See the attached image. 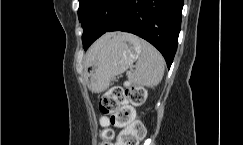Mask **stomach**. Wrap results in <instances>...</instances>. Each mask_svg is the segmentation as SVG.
Wrapping results in <instances>:
<instances>
[{"label":"stomach","mask_w":243,"mask_h":145,"mask_svg":"<svg viewBox=\"0 0 243 145\" xmlns=\"http://www.w3.org/2000/svg\"><path fill=\"white\" fill-rule=\"evenodd\" d=\"M140 39L128 33H111L92 53L85 78L93 92L106 90L116 75L126 71L141 55Z\"/></svg>","instance_id":"obj_1"}]
</instances>
